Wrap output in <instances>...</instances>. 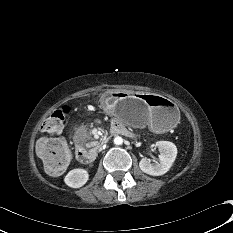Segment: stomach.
<instances>
[{"instance_id": "0dacf381", "label": "stomach", "mask_w": 233, "mask_h": 233, "mask_svg": "<svg viewBox=\"0 0 233 233\" xmlns=\"http://www.w3.org/2000/svg\"><path fill=\"white\" fill-rule=\"evenodd\" d=\"M107 112L133 127L149 126L163 133L173 128L180 117L177 105L156 94L114 91L103 100Z\"/></svg>"}]
</instances>
